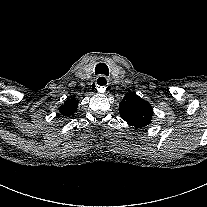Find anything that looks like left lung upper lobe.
Listing matches in <instances>:
<instances>
[{"instance_id": "5c2ea615", "label": "left lung upper lobe", "mask_w": 207, "mask_h": 207, "mask_svg": "<svg viewBox=\"0 0 207 207\" xmlns=\"http://www.w3.org/2000/svg\"><path fill=\"white\" fill-rule=\"evenodd\" d=\"M119 111L121 118L136 129L147 126L153 115L151 105L135 93L124 96Z\"/></svg>"}]
</instances>
